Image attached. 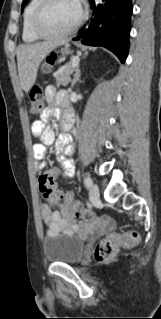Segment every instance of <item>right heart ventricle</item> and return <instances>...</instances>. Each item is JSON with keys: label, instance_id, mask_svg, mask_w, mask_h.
<instances>
[{"label": "right heart ventricle", "instance_id": "1", "mask_svg": "<svg viewBox=\"0 0 161 319\" xmlns=\"http://www.w3.org/2000/svg\"><path fill=\"white\" fill-rule=\"evenodd\" d=\"M39 3L40 0H30L24 11L22 39L25 42H33L39 39V37L34 34L31 27L32 18Z\"/></svg>", "mask_w": 161, "mask_h": 319}]
</instances>
